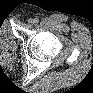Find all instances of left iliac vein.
Listing matches in <instances>:
<instances>
[{
    "label": "left iliac vein",
    "instance_id": "obj_1",
    "mask_svg": "<svg viewBox=\"0 0 93 93\" xmlns=\"http://www.w3.org/2000/svg\"><path fill=\"white\" fill-rule=\"evenodd\" d=\"M28 23H29L30 25H32V24L34 23V19L30 18V19L28 20Z\"/></svg>",
    "mask_w": 93,
    "mask_h": 93
}]
</instances>
